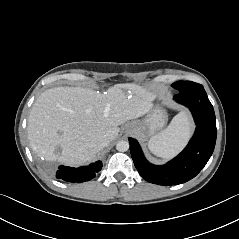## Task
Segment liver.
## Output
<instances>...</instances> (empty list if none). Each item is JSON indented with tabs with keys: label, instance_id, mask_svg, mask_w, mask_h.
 <instances>
[{
	"label": "liver",
	"instance_id": "6515ba94",
	"mask_svg": "<svg viewBox=\"0 0 239 239\" xmlns=\"http://www.w3.org/2000/svg\"><path fill=\"white\" fill-rule=\"evenodd\" d=\"M155 94L137 84H115L107 93L83 87H55L33 104L27 124L31 148L46 161L82 165L92 161L103 138L113 141L119 126L153 108Z\"/></svg>",
	"mask_w": 239,
	"mask_h": 239
}]
</instances>
